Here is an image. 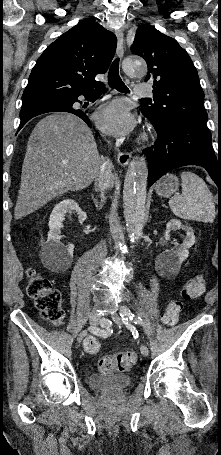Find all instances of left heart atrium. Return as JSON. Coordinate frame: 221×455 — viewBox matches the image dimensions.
<instances>
[{"label":"left heart atrium","instance_id":"1","mask_svg":"<svg viewBox=\"0 0 221 455\" xmlns=\"http://www.w3.org/2000/svg\"><path fill=\"white\" fill-rule=\"evenodd\" d=\"M96 122L101 130L114 136L125 135L134 126L132 115L121 102H112L101 108L96 115Z\"/></svg>","mask_w":221,"mask_h":455}]
</instances>
